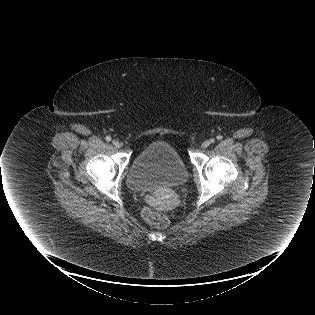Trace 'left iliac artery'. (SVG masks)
<instances>
[{"label":"left iliac artery","mask_w":315,"mask_h":315,"mask_svg":"<svg viewBox=\"0 0 315 315\" xmlns=\"http://www.w3.org/2000/svg\"><path fill=\"white\" fill-rule=\"evenodd\" d=\"M217 139H218V140H221V139H222V136H221V135L217 136ZM212 142H213V140H212Z\"/></svg>","instance_id":"left-iliac-artery-1"}]
</instances>
